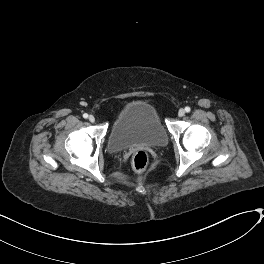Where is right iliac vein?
Segmentation results:
<instances>
[{
	"mask_svg": "<svg viewBox=\"0 0 264 264\" xmlns=\"http://www.w3.org/2000/svg\"><path fill=\"white\" fill-rule=\"evenodd\" d=\"M95 120H96L95 116H93V115H90V116H89V121H90V122L93 123V122H95Z\"/></svg>",
	"mask_w": 264,
	"mask_h": 264,
	"instance_id": "right-iliac-vein-1",
	"label": "right iliac vein"
}]
</instances>
